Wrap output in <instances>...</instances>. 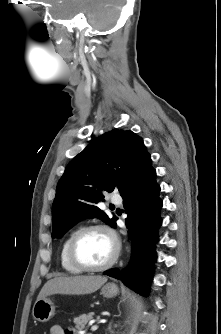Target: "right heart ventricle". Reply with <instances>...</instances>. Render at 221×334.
I'll use <instances>...</instances> for the list:
<instances>
[{
	"label": "right heart ventricle",
	"mask_w": 221,
	"mask_h": 334,
	"mask_svg": "<svg viewBox=\"0 0 221 334\" xmlns=\"http://www.w3.org/2000/svg\"><path fill=\"white\" fill-rule=\"evenodd\" d=\"M75 231L71 232L63 241L62 246H61V250H60V263L62 268L70 273V274H79L82 272L81 269L77 268L76 266H74L70 260H69V256H68V247H69V243L74 235Z\"/></svg>",
	"instance_id": "obj_1"
}]
</instances>
